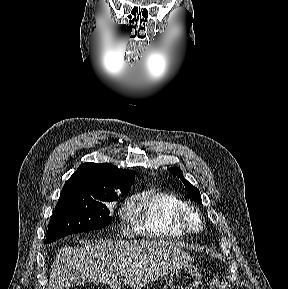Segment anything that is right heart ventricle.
I'll list each match as a JSON object with an SVG mask.
<instances>
[{
    "instance_id": "right-heart-ventricle-1",
    "label": "right heart ventricle",
    "mask_w": 288,
    "mask_h": 289,
    "mask_svg": "<svg viewBox=\"0 0 288 289\" xmlns=\"http://www.w3.org/2000/svg\"><path fill=\"white\" fill-rule=\"evenodd\" d=\"M188 203L177 194L166 190L144 191L136 196L133 212L139 217L138 231L159 240H179L187 237L182 213Z\"/></svg>"
}]
</instances>
